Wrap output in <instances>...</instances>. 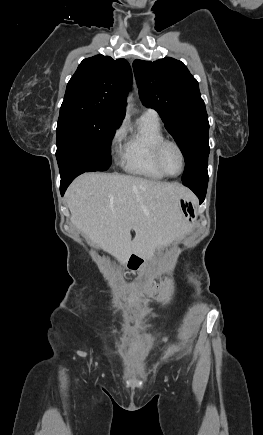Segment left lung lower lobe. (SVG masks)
Instances as JSON below:
<instances>
[{
    "instance_id": "1",
    "label": "left lung lower lobe",
    "mask_w": 263,
    "mask_h": 435,
    "mask_svg": "<svg viewBox=\"0 0 263 435\" xmlns=\"http://www.w3.org/2000/svg\"><path fill=\"white\" fill-rule=\"evenodd\" d=\"M183 185L189 187L199 198L200 204L204 201L207 185L208 173L207 170L189 179L183 180Z\"/></svg>"
}]
</instances>
